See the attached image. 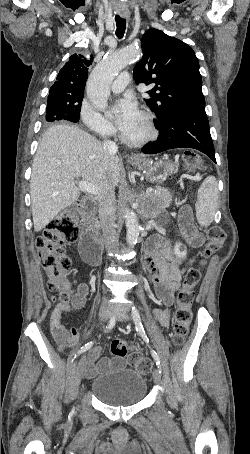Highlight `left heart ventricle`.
Segmentation results:
<instances>
[{
    "instance_id": "left-heart-ventricle-1",
    "label": "left heart ventricle",
    "mask_w": 250,
    "mask_h": 454,
    "mask_svg": "<svg viewBox=\"0 0 250 454\" xmlns=\"http://www.w3.org/2000/svg\"><path fill=\"white\" fill-rule=\"evenodd\" d=\"M147 128L141 115L123 134L129 139H139L146 135Z\"/></svg>"
}]
</instances>
